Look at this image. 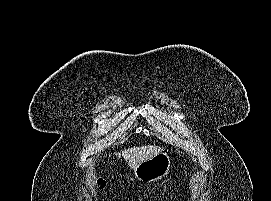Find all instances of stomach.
<instances>
[{
    "label": "stomach",
    "instance_id": "stomach-1",
    "mask_svg": "<svg viewBox=\"0 0 271 201\" xmlns=\"http://www.w3.org/2000/svg\"><path fill=\"white\" fill-rule=\"evenodd\" d=\"M170 166V156L166 152H161L134 168V175L141 182H156L168 174Z\"/></svg>",
    "mask_w": 271,
    "mask_h": 201
}]
</instances>
